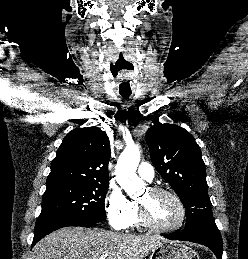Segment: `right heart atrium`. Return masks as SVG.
<instances>
[{"label":"right heart atrium","mask_w":248,"mask_h":259,"mask_svg":"<svg viewBox=\"0 0 248 259\" xmlns=\"http://www.w3.org/2000/svg\"><path fill=\"white\" fill-rule=\"evenodd\" d=\"M133 202L115 186H111L105 198V212L112 228L126 229L133 214Z\"/></svg>","instance_id":"obj_1"}]
</instances>
